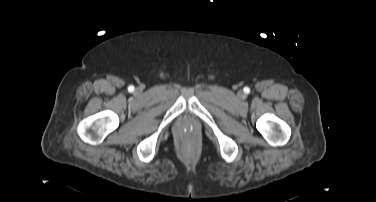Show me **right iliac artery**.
I'll return each instance as SVG.
<instances>
[{
  "mask_svg": "<svg viewBox=\"0 0 376 202\" xmlns=\"http://www.w3.org/2000/svg\"><path fill=\"white\" fill-rule=\"evenodd\" d=\"M130 90H133V87H130Z\"/></svg>",
  "mask_w": 376,
  "mask_h": 202,
  "instance_id": "right-iliac-artery-1",
  "label": "right iliac artery"
}]
</instances>
